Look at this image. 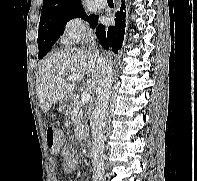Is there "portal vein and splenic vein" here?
Masks as SVG:
<instances>
[{"instance_id":"portal-vein-and-splenic-vein-1","label":"portal vein and splenic vein","mask_w":197,"mask_h":181,"mask_svg":"<svg viewBox=\"0 0 197 181\" xmlns=\"http://www.w3.org/2000/svg\"><path fill=\"white\" fill-rule=\"evenodd\" d=\"M84 78L83 74H75V75H69L67 77V80L69 81H78V80H82ZM64 79L63 78H57L58 82H62ZM90 93L88 91H84L81 95V100L83 104H86L89 102L90 100Z\"/></svg>"}]
</instances>
